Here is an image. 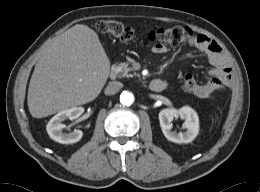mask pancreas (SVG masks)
I'll use <instances>...</instances> for the list:
<instances>
[{"instance_id":"cf45deb5","label":"pancreas","mask_w":260,"mask_h":192,"mask_svg":"<svg viewBox=\"0 0 260 192\" xmlns=\"http://www.w3.org/2000/svg\"><path fill=\"white\" fill-rule=\"evenodd\" d=\"M117 68L119 69V77H130L131 76V74H129V72L132 70V68L129 67V64L127 62L118 64Z\"/></svg>"}]
</instances>
